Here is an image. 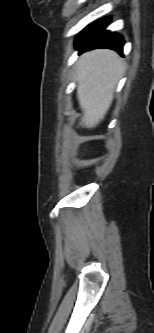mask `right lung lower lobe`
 <instances>
[{
  "mask_svg": "<svg viewBox=\"0 0 154 333\" xmlns=\"http://www.w3.org/2000/svg\"><path fill=\"white\" fill-rule=\"evenodd\" d=\"M109 22L108 18L97 20L76 37L75 46L80 53L95 48H109L122 54L124 40L117 33L105 31Z\"/></svg>",
  "mask_w": 154,
  "mask_h": 333,
  "instance_id": "98d812e1",
  "label": "right lung lower lobe"
}]
</instances>
